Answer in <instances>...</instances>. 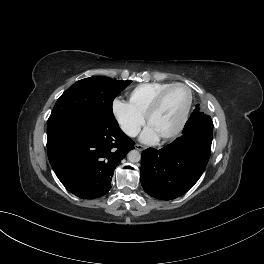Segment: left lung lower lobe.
<instances>
[{"label":"left lung lower lobe","instance_id":"1","mask_svg":"<svg viewBox=\"0 0 264 264\" xmlns=\"http://www.w3.org/2000/svg\"><path fill=\"white\" fill-rule=\"evenodd\" d=\"M213 122L199 112L186 122L182 136L160 150L142 152L141 184L150 196L170 200L186 193L202 175L211 153Z\"/></svg>","mask_w":264,"mask_h":264}]
</instances>
